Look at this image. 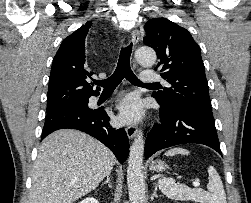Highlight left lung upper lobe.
I'll use <instances>...</instances> for the list:
<instances>
[{"instance_id":"obj_1","label":"left lung upper lobe","mask_w":251,"mask_h":203,"mask_svg":"<svg viewBox=\"0 0 251 203\" xmlns=\"http://www.w3.org/2000/svg\"><path fill=\"white\" fill-rule=\"evenodd\" d=\"M144 29L143 41L159 59L155 70L171 84L153 97L169 111L189 105L212 114L201 51L191 34L166 18L150 19Z\"/></svg>"}]
</instances>
